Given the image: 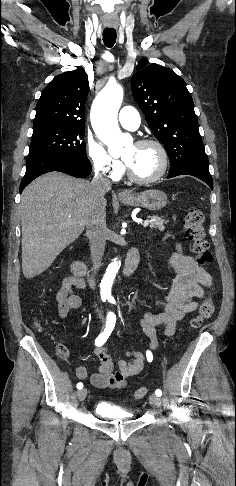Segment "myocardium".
<instances>
[{"mask_svg": "<svg viewBox=\"0 0 236 486\" xmlns=\"http://www.w3.org/2000/svg\"><path fill=\"white\" fill-rule=\"evenodd\" d=\"M135 145H137V146H144V145L155 146L160 153L161 165H160L159 170L154 175H152L150 177L142 178V177H138L137 175H135L132 172V170L130 169L129 165L126 163V172H127V176L129 178V180H131L132 182L137 183V184H151V183H154V182L160 180L165 175V173L168 169V165H169V155H168V152H167L165 146L159 140L154 139V138H144V139L138 140L135 143Z\"/></svg>", "mask_w": 236, "mask_h": 486, "instance_id": "obj_1", "label": "myocardium"}]
</instances>
